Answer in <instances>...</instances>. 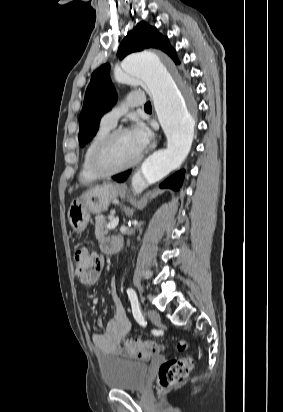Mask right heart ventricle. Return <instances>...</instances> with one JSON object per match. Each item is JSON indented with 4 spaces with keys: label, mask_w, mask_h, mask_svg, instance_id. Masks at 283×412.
<instances>
[{
    "label": "right heart ventricle",
    "mask_w": 283,
    "mask_h": 412,
    "mask_svg": "<svg viewBox=\"0 0 283 412\" xmlns=\"http://www.w3.org/2000/svg\"><path fill=\"white\" fill-rule=\"evenodd\" d=\"M111 127L100 124L99 128L89 139L81 158L80 164V180L81 181H92L95 180L98 176L91 166V156L92 152L97 145V143L111 130Z\"/></svg>",
    "instance_id": "e07e8e85"
}]
</instances>
